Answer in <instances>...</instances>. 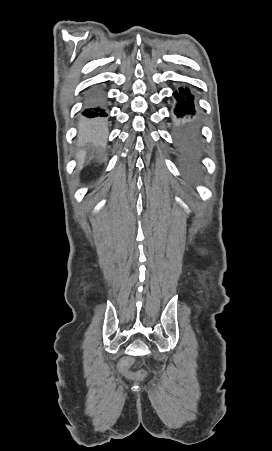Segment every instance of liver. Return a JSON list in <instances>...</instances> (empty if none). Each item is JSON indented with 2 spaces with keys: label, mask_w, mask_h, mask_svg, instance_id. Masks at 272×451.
Masks as SVG:
<instances>
[{
  "label": "liver",
  "mask_w": 272,
  "mask_h": 451,
  "mask_svg": "<svg viewBox=\"0 0 272 451\" xmlns=\"http://www.w3.org/2000/svg\"><path fill=\"white\" fill-rule=\"evenodd\" d=\"M85 156H86V152L85 150H80L79 154H77V158H78V170H82L83 168V164H84V160H85Z\"/></svg>",
  "instance_id": "1"
}]
</instances>
